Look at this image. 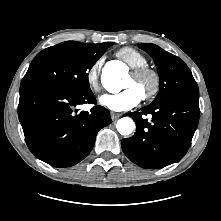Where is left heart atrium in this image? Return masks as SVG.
<instances>
[{
	"label": "left heart atrium",
	"mask_w": 221,
	"mask_h": 221,
	"mask_svg": "<svg viewBox=\"0 0 221 221\" xmlns=\"http://www.w3.org/2000/svg\"><path fill=\"white\" fill-rule=\"evenodd\" d=\"M141 99L139 90L134 86H128L120 92L102 95L99 102L110 110L121 112L135 107Z\"/></svg>",
	"instance_id": "39dd6f15"
}]
</instances>
